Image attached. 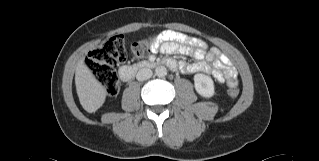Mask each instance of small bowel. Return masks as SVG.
<instances>
[{"mask_svg":"<svg viewBox=\"0 0 319 161\" xmlns=\"http://www.w3.org/2000/svg\"><path fill=\"white\" fill-rule=\"evenodd\" d=\"M157 40L158 42L151 48L153 53L189 55L197 60L181 63L182 72L212 74L220 83L237 85L238 72L228 57L217 48L209 49L203 40L171 29L162 31Z\"/></svg>","mask_w":319,"mask_h":161,"instance_id":"obj_1","label":"small bowel"}]
</instances>
